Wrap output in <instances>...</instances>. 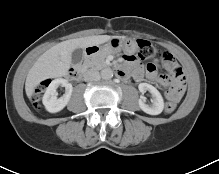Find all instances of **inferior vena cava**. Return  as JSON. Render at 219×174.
<instances>
[{"instance_id": "602c4592", "label": "inferior vena cava", "mask_w": 219, "mask_h": 174, "mask_svg": "<svg viewBox=\"0 0 219 174\" xmlns=\"http://www.w3.org/2000/svg\"><path fill=\"white\" fill-rule=\"evenodd\" d=\"M101 76L100 73L96 70H88L84 74V81L91 82V81H98L100 80Z\"/></svg>"}]
</instances>
